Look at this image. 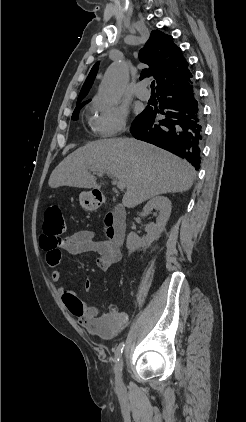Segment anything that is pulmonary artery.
Segmentation results:
<instances>
[{
	"instance_id": "obj_1",
	"label": "pulmonary artery",
	"mask_w": 246,
	"mask_h": 422,
	"mask_svg": "<svg viewBox=\"0 0 246 422\" xmlns=\"http://www.w3.org/2000/svg\"><path fill=\"white\" fill-rule=\"evenodd\" d=\"M136 96L142 100H148L150 98V92L147 89L146 82H139L134 89Z\"/></svg>"
}]
</instances>
